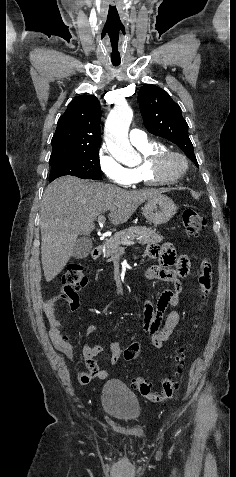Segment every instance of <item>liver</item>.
<instances>
[{"label":"liver","mask_w":236,"mask_h":477,"mask_svg":"<svg viewBox=\"0 0 236 477\" xmlns=\"http://www.w3.org/2000/svg\"><path fill=\"white\" fill-rule=\"evenodd\" d=\"M162 192L154 188L129 191L72 176L49 184L40 209L41 261L46 281L63 270L78 236L90 235L97 217L109 211L112 224H123L143 202Z\"/></svg>","instance_id":"6515ba94"}]
</instances>
